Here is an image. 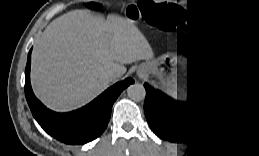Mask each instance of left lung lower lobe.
<instances>
[{
    "label": "left lung lower lobe",
    "instance_id": "obj_1",
    "mask_svg": "<svg viewBox=\"0 0 259 156\" xmlns=\"http://www.w3.org/2000/svg\"><path fill=\"white\" fill-rule=\"evenodd\" d=\"M144 111L152 130L171 142L189 141L202 135L215 113L224 105L223 92L216 83L201 90L195 100L173 102L147 84Z\"/></svg>",
    "mask_w": 259,
    "mask_h": 156
}]
</instances>
